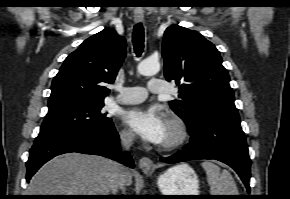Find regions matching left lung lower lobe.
Segmentation results:
<instances>
[{
    "label": "left lung lower lobe",
    "mask_w": 290,
    "mask_h": 199,
    "mask_svg": "<svg viewBox=\"0 0 290 199\" xmlns=\"http://www.w3.org/2000/svg\"><path fill=\"white\" fill-rule=\"evenodd\" d=\"M190 143L179 153L160 158L165 163L189 160L215 159L232 167L250 191V165L248 147L239 123L201 116L189 123Z\"/></svg>",
    "instance_id": "left-lung-lower-lobe-1"
}]
</instances>
